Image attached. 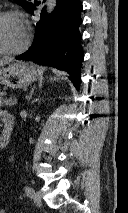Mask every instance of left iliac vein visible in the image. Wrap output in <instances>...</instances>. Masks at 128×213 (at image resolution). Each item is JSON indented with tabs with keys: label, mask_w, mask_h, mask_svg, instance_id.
I'll return each mask as SVG.
<instances>
[{
	"label": "left iliac vein",
	"mask_w": 128,
	"mask_h": 213,
	"mask_svg": "<svg viewBox=\"0 0 128 213\" xmlns=\"http://www.w3.org/2000/svg\"><path fill=\"white\" fill-rule=\"evenodd\" d=\"M32 199L36 205H38V206L42 205V197L39 192L34 191L32 194Z\"/></svg>",
	"instance_id": "left-iliac-vein-1"
}]
</instances>
